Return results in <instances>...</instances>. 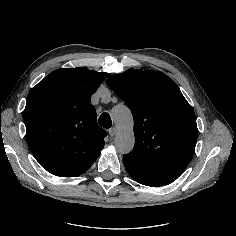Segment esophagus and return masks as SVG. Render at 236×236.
Here are the masks:
<instances>
[{
  "instance_id": "esophagus-1",
  "label": "esophagus",
  "mask_w": 236,
  "mask_h": 236,
  "mask_svg": "<svg viewBox=\"0 0 236 236\" xmlns=\"http://www.w3.org/2000/svg\"><path fill=\"white\" fill-rule=\"evenodd\" d=\"M117 132H118L117 128H112L109 130V135L111 137H114L117 134Z\"/></svg>"
}]
</instances>
